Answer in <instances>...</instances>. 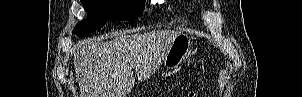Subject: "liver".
<instances>
[{
  "mask_svg": "<svg viewBox=\"0 0 302 97\" xmlns=\"http://www.w3.org/2000/svg\"><path fill=\"white\" fill-rule=\"evenodd\" d=\"M180 34L161 30L84 43L73 54L81 97H126L134 85L133 69L140 78L149 75Z\"/></svg>",
  "mask_w": 302,
  "mask_h": 97,
  "instance_id": "1",
  "label": "liver"
}]
</instances>
